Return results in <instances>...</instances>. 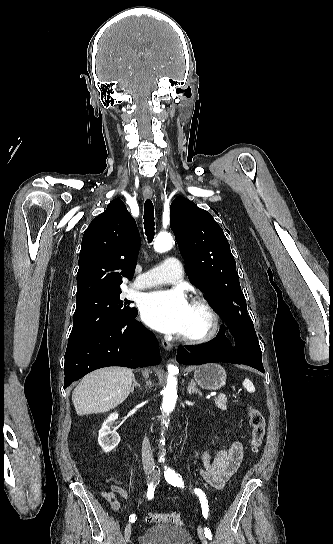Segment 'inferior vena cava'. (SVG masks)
Here are the masks:
<instances>
[{
  "instance_id": "obj_1",
  "label": "inferior vena cava",
  "mask_w": 333,
  "mask_h": 544,
  "mask_svg": "<svg viewBox=\"0 0 333 544\" xmlns=\"http://www.w3.org/2000/svg\"><path fill=\"white\" fill-rule=\"evenodd\" d=\"M142 463L144 468L154 467L153 453L151 450L149 439L147 437H144V440L142 442Z\"/></svg>"
}]
</instances>
